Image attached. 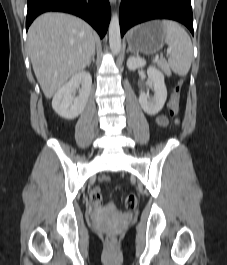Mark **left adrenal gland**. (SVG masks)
<instances>
[{
  "label": "left adrenal gland",
  "mask_w": 227,
  "mask_h": 265,
  "mask_svg": "<svg viewBox=\"0 0 227 265\" xmlns=\"http://www.w3.org/2000/svg\"><path fill=\"white\" fill-rule=\"evenodd\" d=\"M129 51H131V49H130V48H128V49H127V52H129Z\"/></svg>",
  "instance_id": "left-adrenal-gland-1"
}]
</instances>
